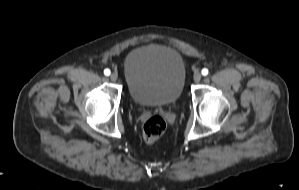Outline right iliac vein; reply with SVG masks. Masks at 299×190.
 <instances>
[{"label":"right iliac vein","mask_w":299,"mask_h":190,"mask_svg":"<svg viewBox=\"0 0 299 190\" xmlns=\"http://www.w3.org/2000/svg\"><path fill=\"white\" fill-rule=\"evenodd\" d=\"M110 79L111 81L115 82L118 79V75L116 73H111Z\"/></svg>","instance_id":"obj_1"}]
</instances>
